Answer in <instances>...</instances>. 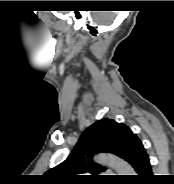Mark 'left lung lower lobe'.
I'll list each match as a JSON object with an SVG mask.
<instances>
[{
	"label": "left lung lower lobe",
	"instance_id": "left-lung-lower-lobe-1",
	"mask_svg": "<svg viewBox=\"0 0 174 184\" xmlns=\"http://www.w3.org/2000/svg\"><path fill=\"white\" fill-rule=\"evenodd\" d=\"M127 161L137 173V176H134L133 178V180H136V183H146V181L152 177L149 157L141 141L137 142L133 147Z\"/></svg>",
	"mask_w": 174,
	"mask_h": 184
}]
</instances>
